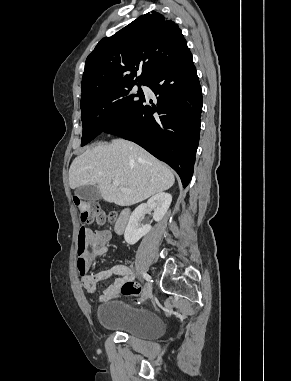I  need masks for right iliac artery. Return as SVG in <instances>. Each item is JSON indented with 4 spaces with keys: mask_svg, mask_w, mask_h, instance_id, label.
I'll list each match as a JSON object with an SVG mask.
<instances>
[{
    "mask_svg": "<svg viewBox=\"0 0 291 381\" xmlns=\"http://www.w3.org/2000/svg\"><path fill=\"white\" fill-rule=\"evenodd\" d=\"M143 277L146 279V281H147L148 283L153 282L152 277H151L149 274H147V273H143Z\"/></svg>",
    "mask_w": 291,
    "mask_h": 381,
    "instance_id": "1",
    "label": "right iliac artery"
}]
</instances>
